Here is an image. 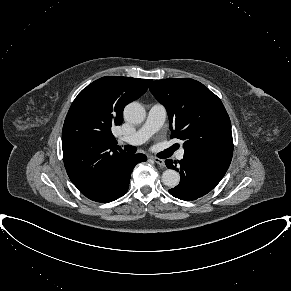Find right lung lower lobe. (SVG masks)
<instances>
[{
  "mask_svg": "<svg viewBox=\"0 0 291 291\" xmlns=\"http://www.w3.org/2000/svg\"><path fill=\"white\" fill-rule=\"evenodd\" d=\"M143 154H124L109 163L105 172L82 194L95 202L107 203L123 196L129 188V180L134 166L144 162Z\"/></svg>",
  "mask_w": 291,
  "mask_h": 291,
  "instance_id": "obj_1",
  "label": "right lung lower lobe"
}]
</instances>
